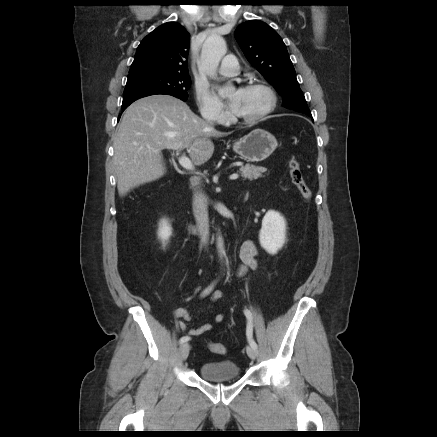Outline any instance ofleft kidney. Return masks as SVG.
<instances>
[{
	"label": "left kidney",
	"mask_w": 437,
	"mask_h": 437,
	"mask_svg": "<svg viewBox=\"0 0 437 437\" xmlns=\"http://www.w3.org/2000/svg\"><path fill=\"white\" fill-rule=\"evenodd\" d=\"M286 240V221L278 212L268 211L263 220L259 233L260 245L269 254H276Z\"/></svg>",
	"instance_id": "obj_1"
}]
</instances>
